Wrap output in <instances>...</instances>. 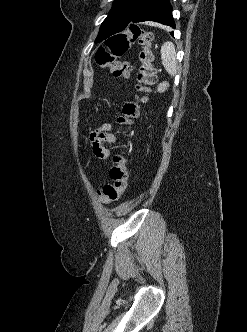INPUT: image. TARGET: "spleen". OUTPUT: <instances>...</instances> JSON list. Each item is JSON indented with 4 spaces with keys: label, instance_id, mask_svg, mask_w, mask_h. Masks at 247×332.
I'll list each match as a JSON object with an SVG mask.
<instances>
[{
    "label": "spleen",
    "instance_id": "3e777b00",
    "mask_svg": "<svg viewBox=\"0 0 247 332\" xmlns=\"http://www.w3.org/2000/svg\"><path fill=\"white\" fill-rule=\"evenodd\" d=\"M162 64L169 75L174 76L177 69L176 51L173 43L166 42L161 47ZM162 90V88H159Z\"/></svg>",
    "mask_w": 247,
    "mask_h": 332
}]
</instances>
